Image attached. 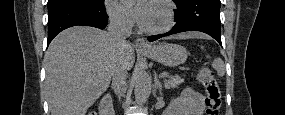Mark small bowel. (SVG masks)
<instances>
[{
  "label": "small bowel",
  "instance_id": "1",
  "mask_svg": "<svg viewBox=\"0 0 285 115\" xmlns=\"http://www.w3.org/2000/svg\"><path fill=\"white\" fill-rule=\"evenodd\" d=\"M204 108L203 95L191 88H186L171 100L165 115H203Z\"/></svg>",
  "mask_w": 285,
  "mask_h": 115
}]
</instances>
